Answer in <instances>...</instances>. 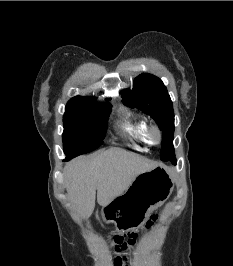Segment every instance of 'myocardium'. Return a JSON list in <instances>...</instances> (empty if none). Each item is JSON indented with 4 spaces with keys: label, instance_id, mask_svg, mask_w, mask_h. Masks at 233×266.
I'll return each instance as SVG.
<instances>
[{
    "label": "myocardium",
    "instance_id": "myocardium-1",
    "mask_svg": "<svg viewBox=\"0 0 233 266\" xmlns=\"http://www.w3.org/2000/svg\"><path fill=\"white\" fill-rule=\"evenodd\" d=\"M147 138L151 144H158L162 139V132L156 125H151L147 129Z\"/></svg>",
    "mask_w": 233,
    "mask_h": 266
}]
</instances>
